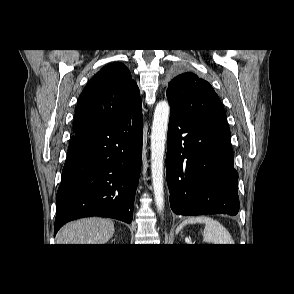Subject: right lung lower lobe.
Returning <instances> with one entry per match:
<instances>
[{
	"instance_id": "1",
	"label": "right lung lower lobe",
	"mask_w": 294,
	"mask_h": 294,
	"mask_svg": "<svg viewBox=\"0 0 294 294\" xmlns=\"http://www.w3.org/2000/svg\"><path fill=\"white\" fill-rule=\"evenodd\" d=\"M142 139L141 104L111 122L74 131L56 196L54 235L81 217L131 223Z\"/></svg>"
}]
</instances>
